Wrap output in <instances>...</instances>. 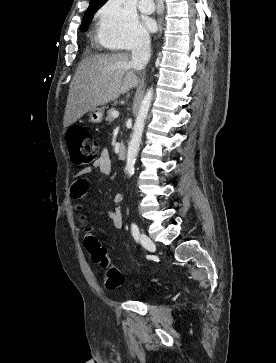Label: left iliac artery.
<instances>
[{"label":"left iliac artery","mask_w":276,"mask_h":363,"mask_svg":"<svg viewBox=\"0 0 276 363\" xmlns=\"http://www.w3.org/2000/svg\"><path fill=\"white\" fill-rule=\"evenodd\" d=\"M131 233L135 240L139 239V229L135 223L131 224Z\"/></svg>","instance_id":"left-iliac-artery-1"}]
</instances>
